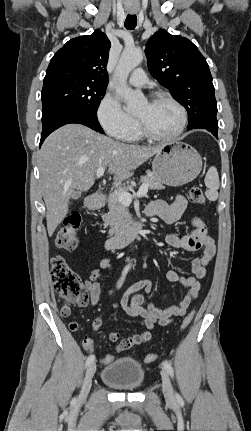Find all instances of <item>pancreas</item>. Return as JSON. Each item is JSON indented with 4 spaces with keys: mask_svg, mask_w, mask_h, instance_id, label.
<instances>
[{
    "mask_svg": "<svg viewBox=\"0 0 251 431\" xmlns=\"http://www.w3.org/2000/svg\"><path fill=\"white\" fill-rule=\"evenodd\" d=\"M141 182L146 183L150 189L161 190L164 185L160 182L153 173L148 171L147 175L141 178ZM130 187L123 185L115 190L108 197L109 212L103 215L104 226L109 227V236L118 235L125 230L130 224L129 212L127 207L122 204L118 199L119 192H128Z\"/></svg>",
    "mask_w": 251,
    "mask_h": 431,
    "instance_id": "cf45deb5",
    "label": "pancreas"
}]
</instances>
